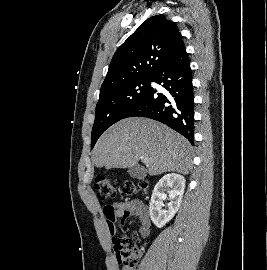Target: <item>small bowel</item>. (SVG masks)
<instances>
[{
	"label": "small bowel",
	"mask_w": 267,
	"mask_h": 270,
	"mask_svg": "<svg viewBox=\"0 0 267 270\" xmlns=\"http://www.w3.org/2000/svg\"><path fill=\"white\" fill-rule=\"evenodd\" d=\"M103 213L112 239L116 234V222L124 223L131 216H136L139 219L138 233L141 237L146 238L150 234L151 221L147 207L138 200L114 203L106 206Z\"/></svg>",
	"instance_id": "small-bowel-1"
}]
</instances>
